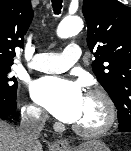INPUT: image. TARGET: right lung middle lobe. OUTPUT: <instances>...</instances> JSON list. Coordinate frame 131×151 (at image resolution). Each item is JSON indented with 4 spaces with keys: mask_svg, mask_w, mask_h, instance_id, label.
<instances>
[{
    "mask_svg": "<svg viewBox=\"0 0 131 151\" xmlns=\"http://www.w3.org/2000/svg\"><path fill=\"white\" fill-rule=\"evenodd\" d=\"M11 65H0V97L5 99H15L17 92V80L10 77Z\"/></svg>",
    "mask_w": 131,
    "mask_h": 151,
    "instance_id": "dd1d6c3e",
    "label": "right lung middle lobe"
}]
</instances>
